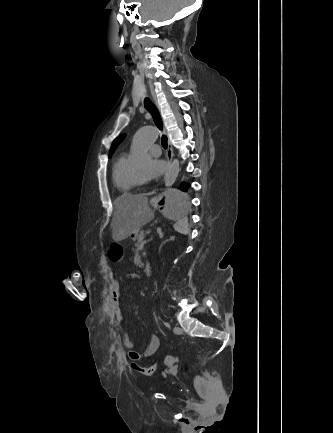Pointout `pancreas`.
<instances>
[{
	"label": "pancreas",
	"mask_w": 333,
	"mask_h": 433,
	"mask_svg": "<svg viewBox=\"0 0 333 433\" xmlns=\"http://www.w3.org/2000/svg\"><path fill=\"white\" fill-rule=\"evenodd\" d=\"M144 237H145V232L140 231V233L136 237V243H135V247L137 248V250L140 247L141 243L144 241Z\"/></svg>",
	"instance_id": "obj_1"
}]
</instances>
